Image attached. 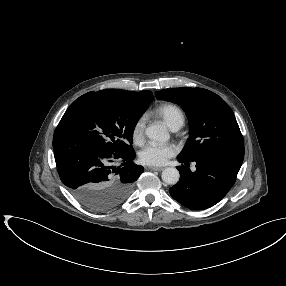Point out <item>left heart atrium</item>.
Returning <instances> with one entry per match:
<instances>
[{"label":"left heart atrium","mask_w":286,"mask_h":286,"mask_svg":"<svg viewBox=\"0 0 286 286\" xmlns=\"http://www.w3.org/2000/svg\"><path fill=\"white\" fill-rule=\"evenodd\" d=\"M178 148L171 143H147L139 153L140 162L149 166H161L173 157Z\"/></svg>","instance_id":"1"}]
</instances>
